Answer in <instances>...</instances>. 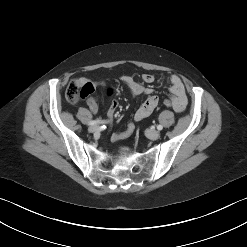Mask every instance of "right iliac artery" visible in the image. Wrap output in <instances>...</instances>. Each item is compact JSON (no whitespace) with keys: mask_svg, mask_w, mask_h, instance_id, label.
I'll return each mask as SVG.
<instances>
[{"mask_svg":"<svg viewBox=\"0 0 247 247\" xmlns=\"http://www.w3.org/2000/svg\"><path fill=\"white\" fill-rule=\"evenodd\" d=\"M99 123H105V121H101V120L97 119V120L90 121L88 123V125L93 126V125H96V124H99Z\"/></svg>","mask_w":247,"mask_h":247,"instance_id":"82829eb1","label":"right iliac artery"}]
</instances>
